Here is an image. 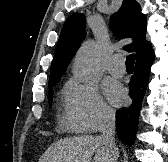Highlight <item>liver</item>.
Instances as JSON below:
<instances>
[{"instance_id":"liver-1","label":"liver","mask_w":168,"mask_h":162,"mask_svg":"<svg viewBox=\"0 0 168 162\" xmlns=\"http://www.w3.org/2000/svg\"><path fill=\"white\" fill-rule=\"evenodd\" d=\"M93 160H92V156ZM115 162L99 136L83 135L52 144L38 162Z\"/></svg>"}]
</instances>
